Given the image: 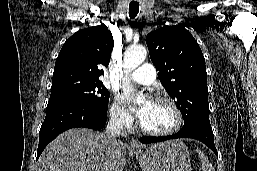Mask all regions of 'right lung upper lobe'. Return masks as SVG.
Masks as SVG:
<instances>
[{"label": "right lung upper lobe", "mask_w": 257, "mask_h": 171, "mask_svg": "<svg viewBox=\"0 0 257 171\" xmlns=\"http://www.w3.org/2000/svg\"><path fill=\"white\" fill-rule=\"evenodd\" d=\"M113 47L112 34L103 25L73 34L56 59L51 90L75 83L102 82L99 78L110 62Z\"/></svg>", "instance_id": "right-lung-upper-lobe-1"}]
</instances>
